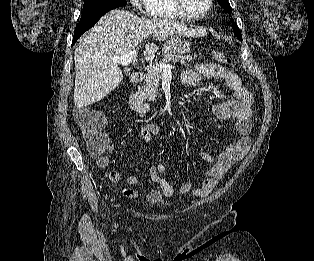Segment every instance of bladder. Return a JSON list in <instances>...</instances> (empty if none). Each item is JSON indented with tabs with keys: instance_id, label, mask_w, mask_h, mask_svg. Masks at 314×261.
<instances>
[{
	"instance_id": "31cf9c89",
	"label": "bladder",
	"mask_w": 314,
	"mask_h": 261,
	"mask_svg": "<svg viewBox=\"0 0 314 261\" xmlns=\"http://www.w3.org/2000/svg\"><path fill=\"white\" fill-rule=\"evenodd\" d=\"M145 198L154 205H160L162 203V198L155 193H150Z\"/></svg>"
}]
</instances>
